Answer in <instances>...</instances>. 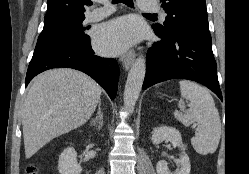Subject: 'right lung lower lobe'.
I'll use <instances>...</instances> for the list:
<instances>
[{
	"label": "right lung lower lobe",
	"instance_id": "1",
	"mask_svg": "<svg viewBox=\"0 0 249 174\" xmlns=\"http://www.w3.org/2000/svg\"><path fill=\"white\" fill-rule=\"evenodd\" d=\"M55 67H69L91 76L113 100L117 94L119 67L115 59L94 54L90 41L57 44L35 49L29 63L25 86L37 74Z\"/></svg>",
	"mask_w": 249,
	"mask_h": 174
}]
</instances>
